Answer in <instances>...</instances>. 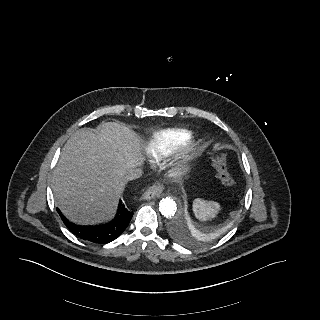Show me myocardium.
<instances>
[{"label": "myocardium", "instance_id": "f54148a6", "mask_svg": "<svg viewBox=\"0 0 320 320\" xmlns=\"http://www.w3.org/2000/svg\"><path fill=\"white\" fill-rule=\"evenodd\" d=\"M181 172H182L181 170H178V171H177V173H181Z\"/></svg>", "mask_w": 320, "mask_h": 320}]
</instances>
